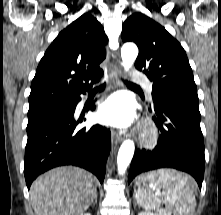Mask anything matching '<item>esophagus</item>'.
<instances>
[{
	"mask_svg": "<svg viewBox=\"0 0 221 215\" xmlns=\"http://www.w3.org/2000/svg\"><path fill=\"white\" fill-rule=\"evenodd\" d=\"M121 76H122L121 62L119 59H117V62L113 68L112 77H111V80L114 86L122 85V82L120 80ZM122 140H123V137L121 135H119L115 131H112V141L114 144L120 143Z\"/></svg>",
	"mask_w": 221,
	"mask_h": 215,
	"instance_id": "34e87169",
	"label": "esophagus"
}]
</instances>
